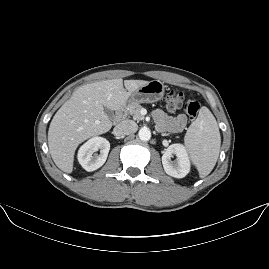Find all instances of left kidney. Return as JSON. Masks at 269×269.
<instances>
[{"label": "left kidney", "instance_id": "obj_1", "mask_svg": "<svg viewBox=\"0 0 269 269\" xmlns=\"http://www.w3.org/2000/svg\"><path fill=\"white\" fill-rule=\"evenodd\" d=\"M176 155L175 161L171 157ZM162 164L165 172L175 178H183L190 171V161L185 147L182 144H172L162 156Z\"/></svg>", "mask_w": 269, "mask_h": 269}]
</instances>
